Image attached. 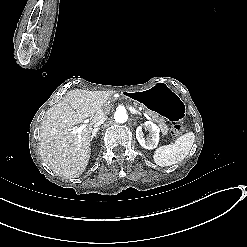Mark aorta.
I'll use <instances>...</instances> for the list:
<instances>
[{
  "instance_id": "obj_1",
  "label": "aorta",
  "mask_w": 247,
  "mask_h": 247,
  "mask_svg": "<svg viewBox=\"0 0 247 247\" xmlns=\"http://www.w3.org/2000/svg\"><path fill=\"white\" fill-rule=\"evenodd\" d=\"M114 119L118 123H124L128 120L127 112L124 108H119L114 113Z\"/></svg>"
}]
</instances>
